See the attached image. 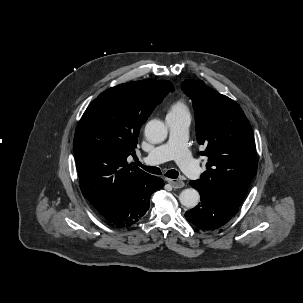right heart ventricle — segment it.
Returning <instances> with one entry per match:
<instances>
[{
    "mask_svg": "<svg viewBox=\"0 0 303 303\" xmlns=\"http://www.w3.org/2000/svg\"><path fill=\"white\" fill-rule=\"evenodd\" d=\"M181 115H189V111L187 105L183 101L178 100L170 105L167 116H181Z\"/></svg>",
    "mask_w": 303,
    "mask_h": 303,
    "instance_id": "right-heart-ventricle-1",
    "label": "right heart ventricle"
}]
</instances>
